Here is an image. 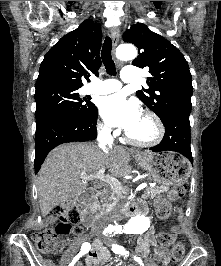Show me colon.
<instances>
[{
    "mask_svg": "<svg viewBox=\"0 0 221 266\" xmlns=\"http://www.w3.org/2000/svg\"><path fill=\"white\" fill-rule=\"evenodd\" d=\"M186 186L178 184L169 193L168 198H158L155 202L156 212L161 220H166L171 214V202L182 198L185 194ZM53 214L60 219V223L55 228H48L35 231L31 234L33 241L38 249L44 253H54L58 248V238L77 233L80 227L79 208L75 201H68L53 210ZM158 241L161 245L166 246L173 242V235L167 232H161L158 235ZM184 246L182 243H175L171 249V259L179 262L184 256Z\"/></svg>",
    "mask_w": 221,
    "mask_h": 266,
    "instance_id": "1",
    "label": "colon"
}]
</instances>
